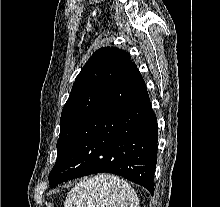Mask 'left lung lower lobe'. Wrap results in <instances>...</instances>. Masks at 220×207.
I'll list each match as a JSON object with an SVG mask.
<instances>
[{
	"label": "left lung lower lobe",
	"instance_id": "obj_1",
	"mask_svg": "<svg viewBox=\"0 0 220 207\" xmlns=\"http://www.w3.org/2000/svg\"><path fill=\"white\" fill-rule=\"evenodd\" d=\"M157 121L134 62L79 127L49 174L51 187L90 174L120 175L154 193Z\"/></svg>",
	"mask_w": 220,
	"mask_h": 207
}]
</instances>
